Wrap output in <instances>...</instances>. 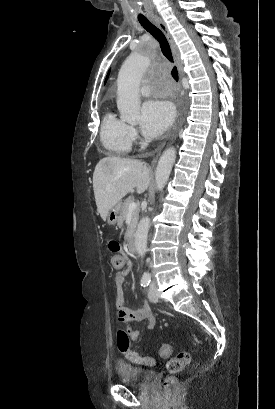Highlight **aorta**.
I'll return each instance as SVG.
<instances>
[{
    "label": "aorta",
    "instance_id": "1",
    "mask_svg": "<svg viewBox=\"0 0 275 409\" xmlns=\"http://www.w3.org/2000/svg\"><path fill=\"white\" fill-rule=\"evenodd\" d=\"M155 54L152 51H131L130 56H127L123 62L118 78H117V106L120 112L121 120H127L131 124H137L140 120V94L139 84L141 76L145 70L144 60L154 59ZM176 150L174 146L166 148L161 154L156 166V188L162 190L164 188L172 170L173 162H175ZM150 227V219L144 217L141 219L136 235L135 249L139 257H144L147 251V237ZM144 281H150L149 273L142 275Z\"/></svg>",
    "mask_w": 275,
    "mask_h": 409
}]
</instances>
